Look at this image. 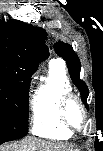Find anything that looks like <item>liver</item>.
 I'll list each match as a JSON object with an SVG mask.
<instances>
[{
    "instance_id": "1",
    "label": "liver",
    "mask_w": 103,
    "mask_h": 151,
    "mask_svg": "<svg viewBox=\"0 0 103 151\" xmlns=\"http://www.w3.org/2000/svg\"><path fill=\"white\" fill-rule=\"evenodd\" d=\"M1 151H75L73 147L62 143H53L36 137H26L18 144H10L1 148Z\"/></svg>"
}]
</instances>
